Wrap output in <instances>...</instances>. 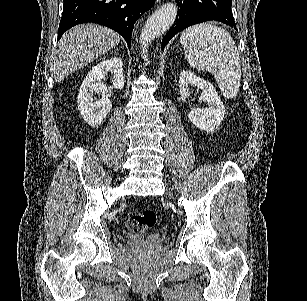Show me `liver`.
<instances>
[{"mask_svg": "<svg viewBox=\"0 0 307 301\" xmlns=\"http://www.w3.org/2000/svg\"><path fill=\"white\" fill-rule=\"evenodd\" d=\"M120 42V34L100 24H77L69 28L58 42L52 56V70L55 82L93 62Z\"/></svg>", "mask_w": 307, "mask_h": 301, "instance_id": "obj_1", "label": "liver"}]
</instances>
